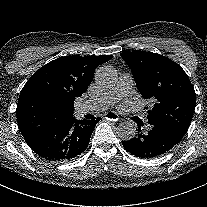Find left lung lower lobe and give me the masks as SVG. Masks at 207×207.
<instances>
[{"instance_id":"0a47b994","label":"left lung lower lobe","mask_w":207,"mask_h":207,"mask_svg":"<svg viewBox=\"0 0 207 207\" xmlns=\"http://www.w3.org/2000/svg\"><path fill=\"white\" fill-rule=\"evenodd\" d=\"M138 134L129 141H122L124 148L136 157L153 158L168 152L180 140L164 129L152 126L148 133H141L142 121H137Z\"/></svg>"}]
</instances>
